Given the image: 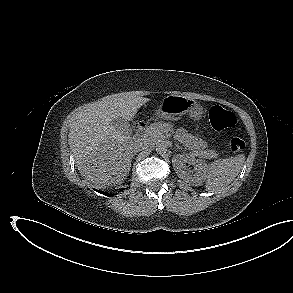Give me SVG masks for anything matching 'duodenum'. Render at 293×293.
Segmentation results:
<instances>
[{"mask_svg": "<svg viewBox=\"0 0 293 293\" xmlns=\"http://www.w3.org/2000/svg\"><path fill=\"white\" fill-rule=\"evenodd\" d=\"M145 129H146V124L144 122H140L136 129V134H135L136 142H140L143 140Z\"/></svg>", "mask_w": 293, "mask_h": 293, "instance_id": "410a0bca", "label": "duodenum"}]
</instances>
